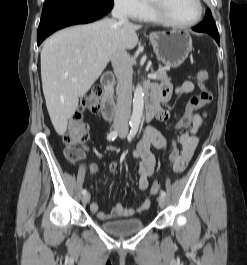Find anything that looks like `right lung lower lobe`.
I'll use <instances>...</instances> for the list:
<instances>
[{
    "label": "right lung lower lobe",
    "instance_id": "1",
    "mask_svg": "<svg viewBox=\"0 0 247 265\" xmlns=\"http://www.w3.org/2000/svg\"><path fill=\"white\" fill-rule=\"evenodd\" d=\"M113 7V0H45L37 44L53 32L74 24L93 22Z\"/></svg>",
    "mask_w": 247,
    "mask_h": 265
}]
</instances>
